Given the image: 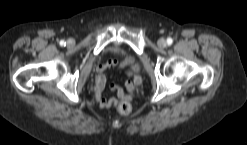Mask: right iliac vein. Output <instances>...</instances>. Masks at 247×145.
<instances>
[{
  "label": "right iliac vein",
  "instance_id": "63e3f726",
  "mask_svg": "<svg viewBox=\"0 0 247 145\" xmlns=\"http://www.w3.org/2000/svg\"><path fill=\"white\" fill-rule=\"evenodd\" d=\"M67 44H68L69 46H73V45H74V41H73V40H68Z\"/></svg>",
  "mask_w": 247,
  "mask_h": 145
}]
</instances>
